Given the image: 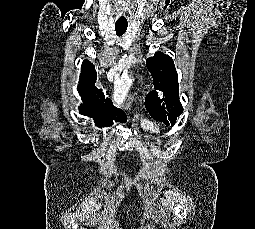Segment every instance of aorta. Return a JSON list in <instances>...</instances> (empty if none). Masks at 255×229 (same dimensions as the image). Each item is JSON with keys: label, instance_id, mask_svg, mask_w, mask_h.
Listing matches in <instances>:
<instances>
[{"label": "aorta", "instance_id": "762f6f07", "mask_svg": "<svg viewBox=\"0 0 255 229\" xmlns=\"http://www.w3.org/2000/svg\"><path fill=\"white\" fill-rule=\"evenodd\" d=\"M133 79L129 76L122 77L115 82L113 101L116 106H121L125 100V97L132 85Z\"/></svg>", "mask_w": 255, "mask_h": 229}]
</instances>
